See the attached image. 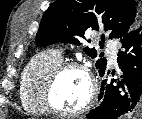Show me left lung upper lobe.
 <instances>
[{"label":"left lung upper lobe","mask_w":142,"mask_h":119,"mask_svg":"<svg viewBox=\"0 0 142 119\" xmlns=\"http://www.w3.org/2000/svg\"><path fill=\"white\" fill-rule=\"evenodd\" d=\"M141 23V8L136 0H57L42 17L36 43L40 46L55 42L79 44L76 37L84 38L90 27L97 31L103 28L110 32V38L121 39ZM84 51L91 58L97 56L94 48L86 47ZM106 65L105 58L97 60L99 73L106 69Z\"/></svg>","instance_id":"1"}]
</instances>
